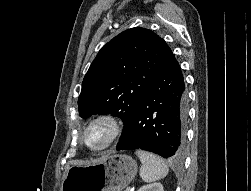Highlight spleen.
Here are the masks:
<instances>
[{
  "label": "spleen",
  "instance_id": "3e777b00",
  "mask_svg": "<svg viewBox=\"0 0 251 191\" xmlns=\"http://www.w3.org/2000/svg\"><path fill=\"white\" fill-rule=\"evenodd\" d=\"M135 153L142 163L140 175L143 181H156V179H161V177L167 175L168 165L159 155H154L150 151H142V149H138Z\"/></svg>",
  "mask_w": 251,
  "mask_h": 191
}]
</instances>
